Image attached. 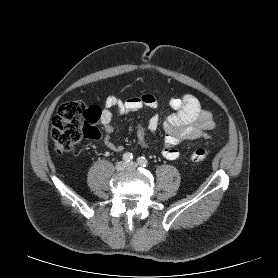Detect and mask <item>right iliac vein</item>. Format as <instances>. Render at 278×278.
<instances>
[{"mask_svg":"<svg viewBox=\"0 0 278 278\" xmlns=\"http://www.w3.org/2000/svg\"><path fill=\"white\" fill-rule=\"evenodd\" d=\"M115 168L117 171H123L127 169V164L124 161H119L116 163Z\"/></svg>","mask_w":278,"mask_h":278,"instance_id":"right-iliac-vein-1","label":"right iliac vein"}]
</instances>
